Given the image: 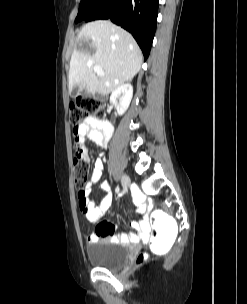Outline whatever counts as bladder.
<instances>
[{"mask_svg":"<svg viewBox=\"0 0 247 304\" xmlns=\"http://www.w3.org/2000/svg\"><path fill=\"white\" fill-rule=\"evenodd\" d=\"M129 249L126 244L102 239L88 245L86 254L92 265L108 270H116L125 263Z\"/></svg>","mask_w":247,"mask_h":304,"instance_id":"obj_1","label":"bladder"}]
</instances>
